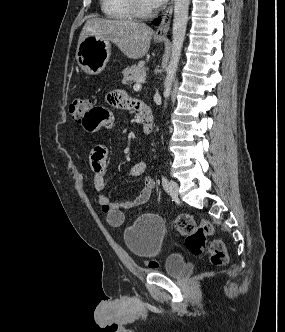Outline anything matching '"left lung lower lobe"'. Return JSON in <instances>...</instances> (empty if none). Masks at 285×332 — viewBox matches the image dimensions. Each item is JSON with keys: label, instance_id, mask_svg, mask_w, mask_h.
I'll return each instance as SVG.
<instances>
[{"label": "left lung lower lobe", "instance_id": "obj_1", "mask_svg": "<svg viewBox=\"0 0 285 332\" xmlns=\"http://www.w3.org/2000/svg\"><path fill=\"white\" fill-rule=\"evenodd\" d=\"M159 22H160V19H157L154 21V24L157 25V24H159Z\"/></svg>", "mask_w": 285, "mask_h": 332}]
</instances>
